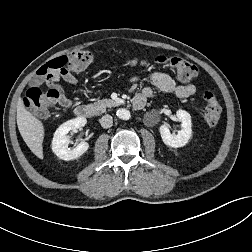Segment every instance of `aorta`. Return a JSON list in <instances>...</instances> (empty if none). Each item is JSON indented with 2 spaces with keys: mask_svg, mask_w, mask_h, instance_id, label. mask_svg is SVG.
<instances>
[{
  "mask_svg": "<svg viewBox=\"0 0 252 252\" xmlns=\"http://www.w3.org/2000/svg\"><path fill=\"white\" fill-rule=\"evenodd\" d=\"M117 117L122 120H129L131 117V114L127 109H119L117 111Z\"/></svg>",
  "mask_w": 252,
  "mask_h": 252,
  "instance_id": "762f6f07",
  "label": "aorta"
}]
</instances>
